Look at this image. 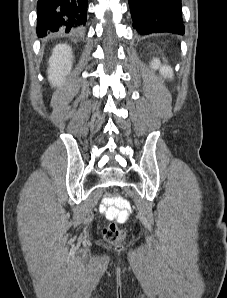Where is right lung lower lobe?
Listing matches in <instances>:
<instances>
[{
  "instance_id": "right-lung-lower-lobe-1",
  "label": "right lung lower lobe",
  "mask_w": 227,
  "mask_h": 298,
  "mask_svg": "<svg viewBox=\"0 0 227 298\" xmlns=\"http://www.w3.org/2000/svg\"><path fill=\"white\" fill-rule=\"evenodd\" d=\"M87 0H39L37 4V35L70 32L86 22Z\"/></svg>"
}]
</instances>
